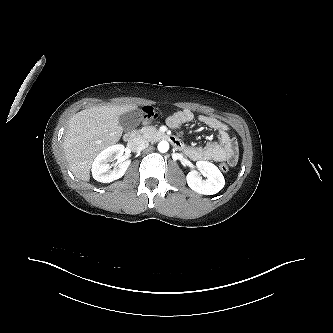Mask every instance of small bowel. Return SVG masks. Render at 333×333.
<instances>
[{"mask_svg":"<svg viewBox=\"0 0 333 333\" xmlns=\"http://www.w3.org/2000/svg\"><path fill=\"white\" fill-rule=\"evenodd\" d=\"M194 120V114L189 109L173 113L167 118V125L176 128L179 125ZM197 120L216 132L217 142H207L204 146H184L185 154L194 161H227L234 165L238 158L237 140L230 136L228 124L208 115H199Z\"/></svg>","mask_w":333,"mask_h":333,"instance_id":"obj_1","label":"small bowel"}]
</instances>
